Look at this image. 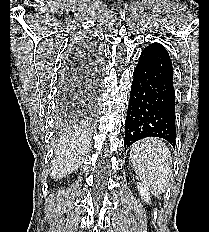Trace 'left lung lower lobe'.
<instances>
[{
    "label": "left lung lower lobe",
    "mask_w": 209,
    "mask_h": 232,
    "mask_svg": "<svg viewBox=\"0 0 209 232\" xmlns=\"http://www.w3.org/2000/svg\"><path fill=\"white\" fill-rule=\"evenodd\" d=\"M125 121V150L146 137L176 144L175 89L170 56L160 43L148 45L134 70Z\"/></svg>",
    "instance_id": "0a47b994"
}]
</instances>
